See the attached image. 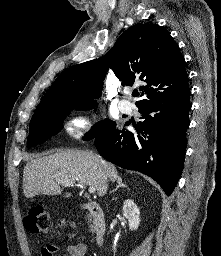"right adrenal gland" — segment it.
Listing matches in <instances>:
<instances>
[{
  "label": "right adrenal gland",
  "instance_id": "1",
  "mask_svg": "<svg viewBox=\"0 0 221 256\" xmlns=\"http://www.w3.org/2000/svg\"><path fill=\"white\" fill-rule=\"evenodd\" d=\"M117 183H118L117 187L114 190H112L110 193L117 191L120 187L127 188V185L122 182L121 177L117 178Z\"/></svg>",
  "mask_w": 221,
  "mask_h": 256
}]
</instances>
